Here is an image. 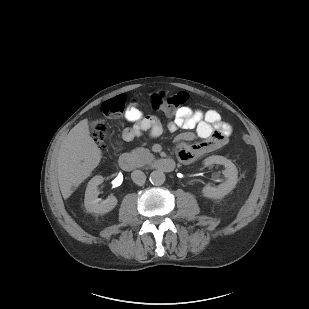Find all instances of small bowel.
Here are the masks:
<instances>
[{
    "label": "small bowel",
    "instance_id": "obj_1",
    "mask_svg": "<svg viewBox=\"0 0 309 309\" xmlns=\"http://www.w3.org/2000/svg\"><path fill=\"white\" fill-rule=\"evenodd\" d=\"M125 118L134 125L124 131V140L139 137L143 132L159 137L163 132L160 120L153 115H144L135 103L128 106ZM167 129L170 132L184 130L176 137V141L179 143L178 157L187 164L225 145L232 132L230 124L224 122L216 110L203 112L190 107L179 108L174 113V118L168 122ZM196 138L199 139L198 142L189 144Z\"/></svg>",
    "mask_w": 309,
    "mask_h": 309
}]
</instances>
